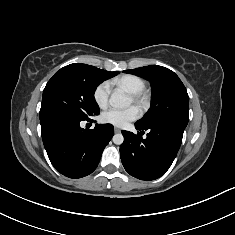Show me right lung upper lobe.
I'll return each instance as SVG.
<instances>
[{
  "mask_svg": "<svg viewBox=\"0 0 235 235\" xmlns=\"http://www.w3.org/2000/svg\"><path fill=\"white\" fill-rule=\"evenodd\" d=\"M65 67L73 68V69H77V70H81V71L95 72V73H98V74L106 77L107 79L111 78V77H113V76H115L119 73L117 71L116 72H109V71L101 70V69H98L94 66L86 65V64H80V63L70 64V65H67Z\"/></svg>",
  "mask_w": 235,
  "mask_h": 235,
  "instance_id": "obj_1",
  "label": "right lung upper lobe"
}]
</instances>
